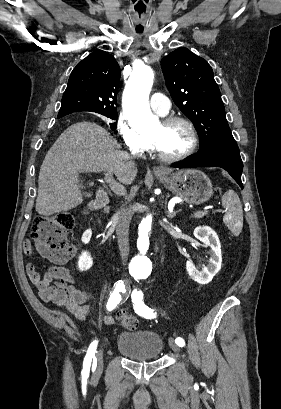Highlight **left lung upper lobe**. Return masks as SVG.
Here are the masks:
<instances>
[{
  "instance_id": "left-lung-upper-lobe-1",
  "label": "left lung upper lobe",
  "mask_w": 281,
  "mask_h": 409,
  "mask_svg": "<svg viewBox=\"0 0 281 409\" xmlns=\"http://www.w3.org/2000/svg\"><path fill=\"white\" fill-rule=\"evenodd\" d=\"M161 67L172 99L196 128L200 150L239 151L207 61L179 48L161 60Z\"/></svg>"
}]
</instances>
